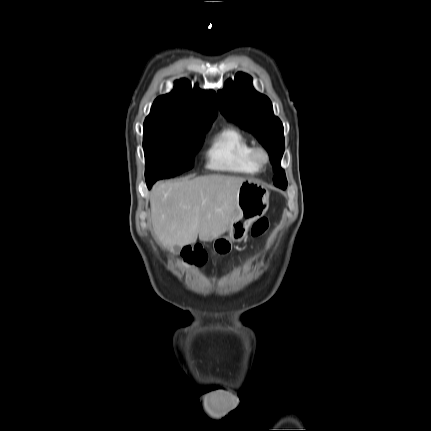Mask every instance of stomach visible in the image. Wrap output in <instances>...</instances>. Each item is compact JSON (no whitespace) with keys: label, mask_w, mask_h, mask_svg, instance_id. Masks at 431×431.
Here are the masks:
<instances>
[{"label":"stomach","mask_w":431,"mask_h":431,"mask_svg":"<svg viewBox=\"0 0 431 431\" xmlns=\"http://www.w3.org/2000/svg\"><path fill=\"white\" fill-rule=\"evenodd\" d=\"M268 207L269 191L265 186L251 180L242 183L236 194L234 216L226 230L228 235L214 238V251L218 254L231 252L233 242L242 241L250 225L263 216Z\"/></svg>","instance_id":"obj_1"}]
</instances>
